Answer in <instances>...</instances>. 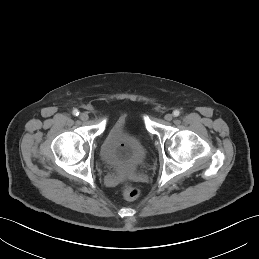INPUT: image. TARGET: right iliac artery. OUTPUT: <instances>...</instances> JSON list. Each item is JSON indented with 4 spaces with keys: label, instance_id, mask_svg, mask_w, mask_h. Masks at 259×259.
I'll use <instances>...</instances> for the list:
<instances>
[{
    "label": "right iliac artery",
    "instance_id": "1",
    "mask_svg": "<svg viewBox=\"0 0 259 259\" xmlns=\"http://www.w3.org/2000/svg\"><path fill=\"white\" fill-rule=\"evenodd\" d=\"M73 115L78 116L79 115V111L77 109H74L73 110Z\"/></svg>",
    "mask_w": 259,
    "mask_h": 259
}]
</instances>
